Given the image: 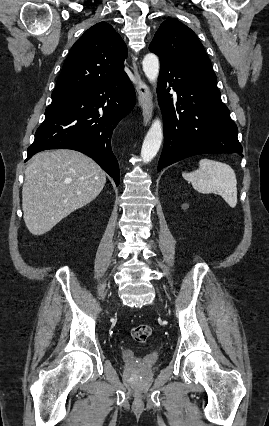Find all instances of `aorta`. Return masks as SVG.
Masks as SVG:
<instances>
[{
  "mask_svg": "<svg viewBox=\"0 0 269 426\" xmlns=\"http://www.w3.org/2000/svg\"><path fill=\"white\" fill-rule=\"evenodd\" d=\"M143 71L150 81L155 84L159 74V59L157 55L148 53L142 62ZM163 139V129L160 119H155L148 130L141 149V158L144 163L150 162L160 149Z\"/></svg>",
  "mask_w": 269,
  "mask_h": 426,
  "instance_id": "aorta-1",
  "label": "aorta"
}]
</instances>
